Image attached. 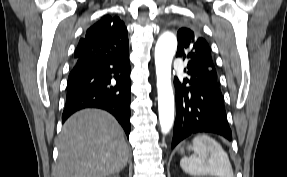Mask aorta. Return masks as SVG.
I'll return each instance as SVG.
<instances>
[{"mask_svg": "<svg viewBox=\"0 0 287 177\" xmlns=\"http://www.w3.org/2000/svg\"><path fill=\"white\" fill-rule=\"evenodd\" d=\"M177 49V38L171 32H164L155 46L157 75L158 112L161 132H170L174 123V94L171 84V65Z\"/></svg>", "mask_w": 287, "mask_h": 177, "instance_id": "1", "label": "aorta"}]
</instances>
